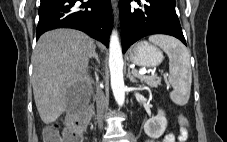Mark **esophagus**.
<instances>
[{"label": "esophagus", "mask_w": 227, "mask_h": 142, "mask_svg": "<svg viewBox=\"0 0 227 142\" xmlns=\"http://www.w3.org/2000/svg\"><path fill=\"white\" fill-rule=\"evenodd\" d=\"M112 11H113L114 20L117 22V19H118V3L116 1H114L112 3Z\"/></svg>", "instance_id": "1"}]
</instances>
